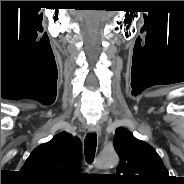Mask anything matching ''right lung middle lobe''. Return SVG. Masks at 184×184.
<instances>
[{"instance_id": "1", "label": "right lung middle lobe", "mask_w": 184, "mask_h": 184, "mask_svg": "<svg viewBox=\"0 0 184 184\" xmlns=\"http://www.w3.org/2000/svg\"><path fill=\"white\" fill-rule=\"evenodd\" d=\"M34 183H37V184H45V183H40V182H34Z\"/></svg>"}]
</instances>
